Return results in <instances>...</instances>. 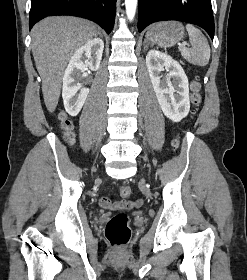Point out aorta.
<instances>
[{"label":"aorta","mask_w":247,"mask_h":280,"mask_svg":"<svg viewBox=\"0 0 247 280\" xmlns=\"http://www.w3.org/2000/svg\"><path fill=\"white\" fill-rule=\"evenodd\" d=\"M138 0H125L126 14L129 20H132L136 13Z\"/></svg>","instance_id":"obj_1"}]
</instances>
